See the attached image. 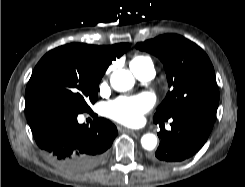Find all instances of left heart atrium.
I'll use <instances>...</instances> for the list:
<instances>
[{"instance_id": "1", "label": "left heart atrium", "mask_w": 245, "mask_h": 187, "mask_svg": "<svg viewBox=\"0 0 245 187\" xmlns=\"http://www.w3.org/2000/svg\"><path fill=\"white\" fill-rule=\"evenodd\" d=\"M154 104V98L147 93L132 97H119L107 104V115L126 125L139 124L143 115Z\"/></svg>"}]
</instances>
